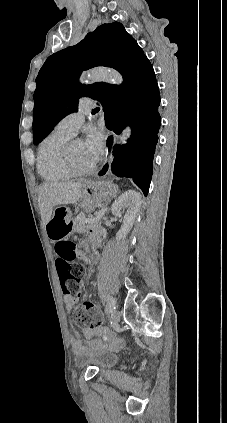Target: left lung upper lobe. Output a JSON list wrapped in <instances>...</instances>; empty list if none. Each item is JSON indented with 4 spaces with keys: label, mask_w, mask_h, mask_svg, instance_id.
Returning <instances> with one entry per match:
<instances>
[{
    "label": "left lung upper lobe",
    "mask_w": 227,
    "mask_h": 423,
    "mask_svg": "<svg viewBox=\"0 0 227 423\" xmlns=\"http://www.w3.org/2000/svg\"><path fill=\"white\" fill-rule=\"evenodd\" d=\"M108 66L124 78L122 85H83V70ZM154 71L136 40L118 22L104 24L75 46L49 56L36 78L33 139L38 144L65 116L78 110V99L97 100L103 111L127 108L132 92Z\"/></svg>",
    "instance_id": "left-lung-upper-lobe-1"
}]
</instances>
